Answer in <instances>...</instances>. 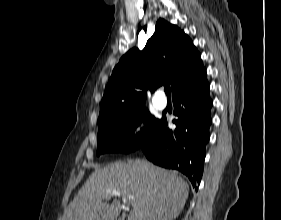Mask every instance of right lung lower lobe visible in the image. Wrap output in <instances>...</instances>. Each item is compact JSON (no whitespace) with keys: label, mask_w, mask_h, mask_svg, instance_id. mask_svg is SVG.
Wrapping results in <instances>:
<instances>
[{"label":"right lung lower lobe","mask_w":281,"mask_h":220,"mask_svg":"<svg viewBox=\"0 0 281 220\" xmlns=\"http://www.w3.org/2000/svg\"><path fill=\"white\" fill-rule=\"evenodd\" d=\"M176 129H166L162 118L152 136L139 148L153 163L184 173L196 191L200 184L212 122L209 83L204 79L173 94Z\"/></svg>","instance_id":"1"}]
</instances>
